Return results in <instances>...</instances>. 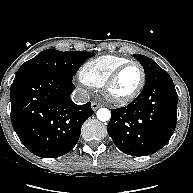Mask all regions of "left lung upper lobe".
Returning a JSON list of instances; mask_svg holds the SVG:
<instances>
[{
    "instance_id": "left-lung-upper-lobe-1",
    "label": "left lung upper lobe",
    "mask_w": 193,
    "mask_h": 193,
    "mask_svg": "<svg viewBox=\"0 0 193 193\" xmlns=\"http://www.w3.org/2000/svg\"><path fill=\"white\" fill-rule=\"evenodd\" d=\"M143 66L145 72V78L151 76L156 70L160 69L161 67L156 64L152 59L147 56L135 54L133 55Z\"/></svg>"
}]
</instances>
